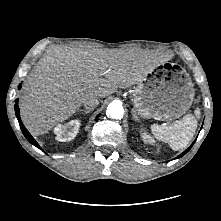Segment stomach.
Here are the masks:
<instances>
[{
    "label": "stomach",
    "instance_id": "stomach-1",
    "mask_svg": "<svg viewBox=\"0 0 221 221\" xmlns=\"http://www.w3.org/2000/svg\"><path fill=\"white\" fill-rule=\"evenodd\" d=\"M159 64L137 82L132 103L145 119L170 121L181 117L191 107L193 83L184 70H171Z\"/></svg>",
    "mask_w": 221,
    "mask_h": 221
}]
</instances>
